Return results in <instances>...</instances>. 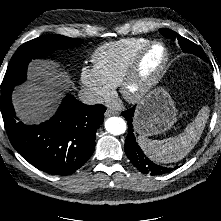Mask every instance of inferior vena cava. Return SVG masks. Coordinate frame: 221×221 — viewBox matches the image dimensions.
Returning a JSON list of instances; mask_svg holds the SVG:
<instances>
[{"mask_svg":"<svg viewBox=\"0 0 221 221\" xmlns=\"http://www.w3.org/2000/svg\"><path fill=\"white\" fill-rule=\"evenodd\" d=\"M81 102L87 105H94L103 102V98L95 91L89 89H82L79 92Z\"/></svg>","mask_w":221,"mask_h":221,"instance_id":"1","label":"inferior vena cava"}]
</instances>
